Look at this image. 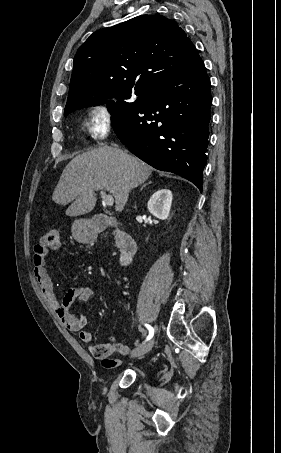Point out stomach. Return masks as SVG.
Segmentation results:
<instances>
[{
    "label": "stomach",
    "instance_id": "1",
    "mask_svg": "<svg viewBox=\"0 0 281 453\" xmlns=\"http://www.w3.org/2000/svg\"><path fill=\"white\" fill-rule=\"evenodd\" d=\"M72 237L78 243H93L96 233L90 220L87 218H78L72 224Z\"/></svg>",
    "mask_w": 281,
    "mask_h": 453
}]
</instances>
